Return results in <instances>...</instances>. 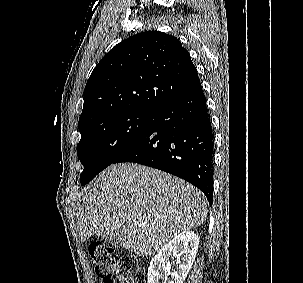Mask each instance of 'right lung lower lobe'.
<instances>
[{
    "label": "right lung lower lobe",
    "mask_w": 303,
    "mask_h": 283,
    "mask_svg": "<svg viewBox=\"0 0 303 283\" xmlns=\"http://www.w3.org/2000/svg\"><path fill=\"white\" fill-rule=\"evenodd\" d=\"M213 133L201 83L163 104L113 163L134 162L178 176L213 201Z\"/></svg>",
    "instance_id": "obj_1"
}]
</instances>
